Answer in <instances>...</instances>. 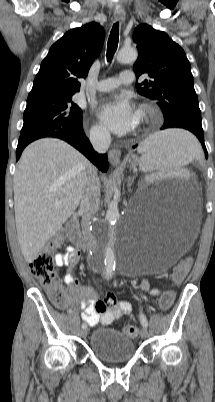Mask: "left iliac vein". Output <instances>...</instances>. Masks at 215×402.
<instances>
[{
	"label": "left iliac vein",
	"instance_id": "4c4485c4",
	"mask_svg": "<svg viewBox=\"0 0 215 402\" xmlns=\"http://www.w3.org/2000/svg\"><path fill=\"white\" fill-rule=\"evenodd\" d=\"M141 338L145 339L148 336V331L146 327H143L140 331Z\"/></svg>",
	"mask_w": 215,
	"mask_h": 402
}]
</instances>
